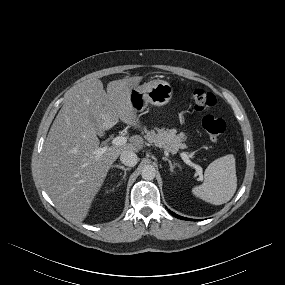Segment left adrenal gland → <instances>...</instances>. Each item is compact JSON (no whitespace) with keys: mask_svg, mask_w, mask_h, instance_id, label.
Here are the masks:
<instances>
[{"mask_svg":"<svg viewBox=\"0 0 285 285\" xmlns=\"http://www.w3.org/2000/svg\"><path fill=\"white\" fill-rule=\"evenodd\" d=\"M163 160L167 161L169 163L170 170L173 172L174 171V164L172 163V161L170 159H168L167 157H163Z\"/></svg>","mask_w":285,"mask_h":285,"instance_id":"left-adrenal-gland-1","label":"left adrenal gland"}]
</instances>
